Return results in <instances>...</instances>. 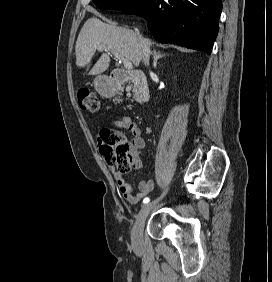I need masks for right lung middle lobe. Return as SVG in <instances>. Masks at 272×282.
<instances>
[{"label": "right lung middle lobe", "mask_w": 272, "mask_h": 282, "mask_svg": "<svg viewBox=\"0 0 272 282\" xmlns=\"http://www.w3.org/2000/svg\"><path fill=\"white\" fill-rule=\"evenodd\" d=\"M141 0H93L97 7L106 10V9H118L125 10L128 9Z\"/></svg>", "instance_id": "1"}]
</instances>
